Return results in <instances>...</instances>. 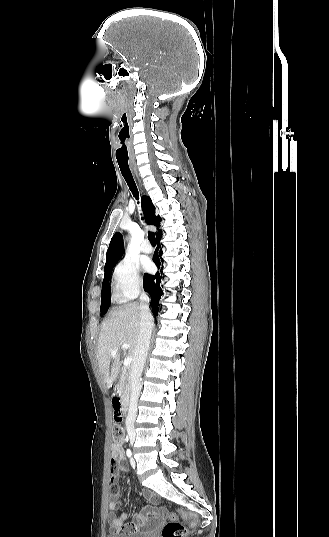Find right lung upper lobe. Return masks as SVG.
<instances>
[{
  "mask_svg": "<svg viewBox=\"0 0 329 537\" xmlns=\"http://www.w3.org/2000/svg\"><path fill=\"white\" fill-rule=\"evenodd\" d=\"M141 200H142L143 211L145 213L147 223L150 225H154L158 228L161 222V218L160 216H157V217L155 216V206L152 204L150 197L142 196ZM161 233L162 231L158 230L156 238L160 236ZM122 255H123V237L119 232H116L113 235L111 242L109 244V248L107 250L106 264H105L104 269L108 268L112 264L117 263L119 259L122 257Z\"/></svg>",
  "mask_w": 329,
  "mask_h": 537,
  "instance_id": "right-lung-upper-lobe-1",
  "label": "right lung upper lobe"
}]
</instances>
